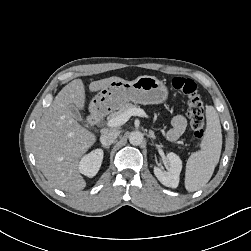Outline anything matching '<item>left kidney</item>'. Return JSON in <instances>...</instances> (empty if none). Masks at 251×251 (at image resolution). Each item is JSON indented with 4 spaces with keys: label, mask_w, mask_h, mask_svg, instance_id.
I'll list each match as a JSON object with an SVG mask.
<instances>
[{
    "label": "left kidney",
    "mask_w": 251,
    "mask_h": 251,
    "mask_svg": "<svg viewBox=\"0 0 251 251\" xmlns=\"http://www.w3.org/2000/svg\"><path fill=\"white\" fill-rule=\"evenodd\" d=\"M167 159L169 161L168 171L164 172L160 168L154 167V174L164 186L177 188L182 170V160L172 152L167 154Z\"/></svg>",
    "instance_id": "1"
}]
</instances>
